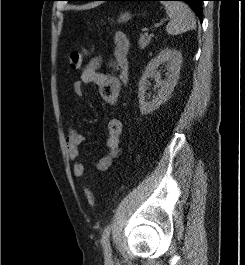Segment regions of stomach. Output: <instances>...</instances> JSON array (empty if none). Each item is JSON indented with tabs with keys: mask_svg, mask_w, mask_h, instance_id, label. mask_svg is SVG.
<instances>
[{
	"mask_svg": "<svg viewBox=\"0 0 245 265\" xmlns=\"http://www.w3.org/2000/svg\"><path fill=\"white\" fill-rule=\"evenodd\" d=\"M131 18V14L129 12H125L120 15L118 21L119 22H127Z\"/></svg>",
	"mask_w": 245,
	"mask_h": 265,
	"instance_id": "0dacf381",
	"label": "stomach"
}]
</instances>
